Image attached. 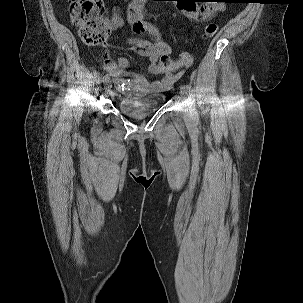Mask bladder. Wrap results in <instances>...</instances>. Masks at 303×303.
Here are the masks:
<instances>
[{
	"label": "bladder",
	"mask_w": 303,
	"mask_h": 303,
	"mask_svg": "<svg viewBox=\"0 0 303 303\" xmlns=\"http://www.w3.org/2000/svg\"><path fill=\"white\" fill-rule=\"evenodd\" d=\"M165 99V95L133 93L122 96L119 100L120 110L128 117L142 119L158 110Z\"/></svg>",
	"instance_id": "obj_1"
}]
</instances>
